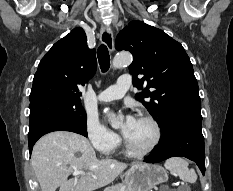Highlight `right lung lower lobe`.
<instances>
[{"label":"right lung lower lobe","mask_w":233,"mask_h":191,"mask_svg":"<svg viewBox=\"0 0 233 191\" xmlns=\"http://www.w3.org/2000/svg\"><path fill=\"white\" fill-rule=\"evenodd\" d=\"M53 131H71L87 137V130H82L79 127L68 122L42 121L29 129L28 145L30 154L32 152L33 145L35 144V142L44 134Z\"/></svg>","instance_id":"98d812e1"}]
</instances>
